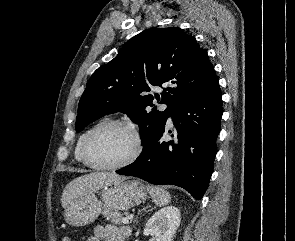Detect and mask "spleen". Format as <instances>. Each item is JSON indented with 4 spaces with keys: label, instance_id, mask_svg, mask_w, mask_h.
Instances as JSON below:
<instances>
[{
    "label": "spleen",
    "instance_id": "3e777b00",
    "mask_svg": "<svg viewBox=\"0 0 295 241\" xmlns=\"http://www.w3.org/2000/svg\"><path fill=\"white\" fill-rule=\"evenodd\" d=\"M146 189L157 206H164L169 203L171 197L164 188L147 185Z\"/></svg>",
    "mask_w": 295,
    "mask_h": 241
}]
</instances>
